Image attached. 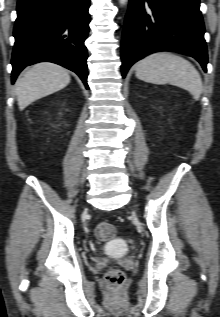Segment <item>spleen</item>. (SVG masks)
I'll list each match as a JSON object with an SVG mask.
<instances>
[{
    "mask_svg": "<svg viewBox=\"0 0 220 317\" xmlns=\"http://www.w3.org/2000/svg\"><path fill=\"white\" fill-rule=\"evenodd\" d=\"M136 77L154 84L175 85L199 99L202 93V79L197 69L183 57L170 52H156L135 65Z\"/></svg>",
    "mask_w": 220,
    "mask_h": 317,
    "instance_id": "obj_1",
    "label": "spleen"
}]
</instances>
